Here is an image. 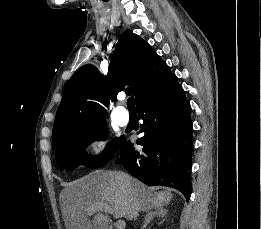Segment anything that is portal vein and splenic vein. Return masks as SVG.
<instances>
[{"instance_id":"1","label":"portal vein and splenic vein","mask_w":261,"mask_h":229,"mask_svg":"<svg viewBox=\"0 0 261 229\" xmlns=\"http://www.w3.org/2000/svg\"><path fill=\"white\" fill-rule=\"evenodd\" d=\"M125 225V221H121V219H119V221L116 223V229H125Z\"/></svg>"}]
</instances>
